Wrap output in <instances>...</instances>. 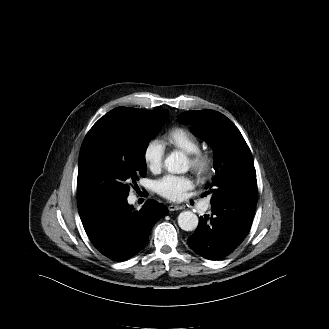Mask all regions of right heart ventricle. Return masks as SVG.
<instances>
[{
  "instance_id": "right-heart-ventricle-1",
  "label": "right heart ventricle",
  "mask_w": 329,
  "mask_h": 329,
  "mask_svg": "<svg viewBox=\"0 0 329 329\" xmlns=\"http://www.w3.org/2000/svg\"><path fill=\"white\" fill-rule=\"evenodd\" d=\"M165 140L171 146L186 153H192L200 149L199 139L184 127L170 129L165 135Z\"/></svg>"
}]
</instances>
